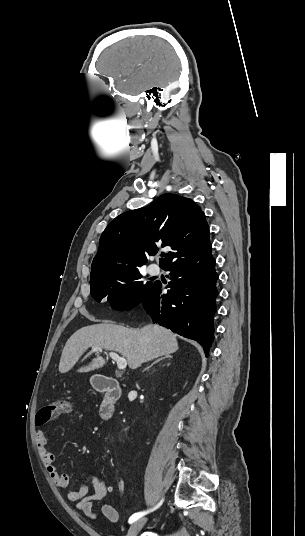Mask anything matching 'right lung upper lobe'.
<instances>
[{"instance_id":"right-lung-upper-lobe-1","label":"right lung upper lobe","mask_w":305,"mask_h":536,"mask_svg":"<svg viewBox=\"0 0 305 536\" xmlns=\"http://www.w3.org/2000/svg\"><path fill=\"white\" fill-rule=\"evenodd\" d=\"M209 227L203 211L189 198L163 194L147 207L117 216L104 230L90 282L139 270L159 248L172 251L160 260L166 268L207 246Z\"/></svg>"}]
</instances>
